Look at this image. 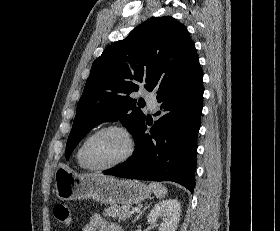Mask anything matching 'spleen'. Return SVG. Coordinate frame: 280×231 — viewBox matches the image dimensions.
I'll use <instances>...</instances> for the list:
<instances>
[{
    "instance_id": "3e777b00",
    "label": "spleen",
    "mask_w": 280,
    "mask_h": 231,
    "mask_svg": "<svg viewBox=\"0 0 280 231\" xmlns=\"http://www.w3.org/2000/svg\"><path fill=\"white\" fill-rule=\"evenodd\" d=\"M154 195H156V197H160V199H162V197H165V193H167V187H165V185H162V183H149Z\"/></svg>"
}]
</instances>
